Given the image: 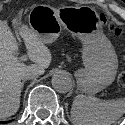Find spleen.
Listing matches in <instances>:
<instances>
[{
  "mask_svg": "<svg viewBox=\"0 0 125 125\" xmlns=\"http://www.w3.org/2000/svg\"><path fill=\"white\" fill-rule=\"evenodd\" d=\"M125 113V98L100 100L79 94L71 108L74 125H112Z\"/></svg>",
  "mask_w": 125,
  "mask_h": 125,
  "instance_id": "obj_1",
  "label": "spleen"
}]
</instances>
